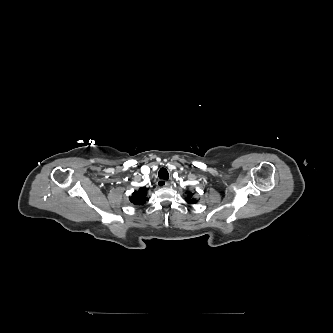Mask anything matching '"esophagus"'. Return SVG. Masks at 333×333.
Masks as SVG:
<instances>
[{"label": "esophagus", "mask_w": 333, "mask_h": 333, "mask_svg": "<svg viewBox=\"0 0 333 333\" xmlns=\"http://www.w3.org/2000/svg\"><path fill=\"white\" fill-rule=\"evenodd\" d=\"M156 184L158 187H168L169 186V182L166 180H163V179H159Z\"/></svg>", "instance_id": "obj_1"}]
</instances>
